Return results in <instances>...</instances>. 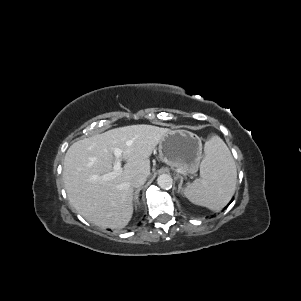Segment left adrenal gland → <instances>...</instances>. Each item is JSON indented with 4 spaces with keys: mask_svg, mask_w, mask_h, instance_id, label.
Listing matches in <instances>:
<instances>
[{
    "mask_svg": "<svg viewBox=\"0 0 301 301\" xmlns=\"http://www.w3.org/2000/svg\"><path fill=\"white\" fill-rule=\"evenodd\" d=\"M179 177H180V183H179V186H178V193H182L183 177L182 176H179Z\"/></svg>",
    "mask_w": 301,
    "mask_h": 301,
    "instance_id": "left-adrenal-gland-1",
    "label": "left adrenal gland"
}]
</instances>
